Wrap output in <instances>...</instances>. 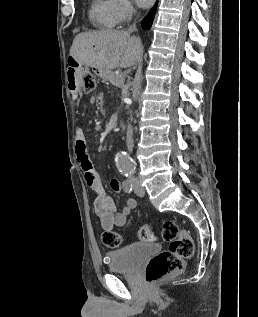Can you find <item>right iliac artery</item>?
<instances>
[{"mask_svg": "<svg viewBox=\"0 0 258 317\" xmlns=\"http://www.w3.org/2000/svg\"><path fill=\"white\" fill-rule=\"evenodd\" d=\"M123 189L126 193L130 194L133 190V186H132V183L129 179H126L124 182H123Z\"/></svg>", "mask_w": 258, "mask_h": 317, "instance_id": "1", "label": "right iliac artery"}]
</instances>
